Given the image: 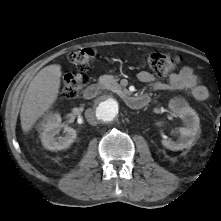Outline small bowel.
I'll return each instance as SVG.
<instances>
[{
	"instance_id": "small-bowel-1",
	"label": "small bowel",
	"mask_w": 221,
	"mask_h": 221,
	"mask_svg": "<svg viewBox=\"0 0 221 221\" xmlns=\"http://www.w3.org/2000/svg\"><path fill=\"white\" fill-rule=\"evenodd\" d=\"M138 79L143 83H153L156 90L187 91L200 101L208 100L211 97L208 88L201 84L199 77L190 66H184L177 73H173L168 83L155 82L154 77L147 71L139 72Z\"/></svg>"
}]
</instances>
